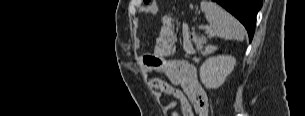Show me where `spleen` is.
Here are the masks:
<instances>
[{
  "mask_svg": "<svg viewBox=\"0 0 305 116\" xmlns=\"http://www.w3.org/2000/svg\"><path fill=\"white\" fill-rule=\"evenodd\" d=\"M190 7L193 8V6ZM200 7L210 24V28L207 30L209 37L244 39V30L241 24L222 7L212 1H202Z\"/></svg>",
  "mask_w": 305,
  "mask_h": 116,
  "instance_id": "3e777b00",
  "label": "spleen"
}]
</instances>
